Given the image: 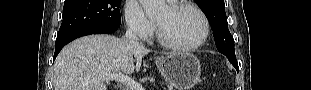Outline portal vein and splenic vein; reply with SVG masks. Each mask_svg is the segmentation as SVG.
Segmentation results:
<instances>
[{
  "instance_id": "portal-vein-and-splenic-vein-1",
  "label": "portal vein and splenic vein",
  "mask_w": 311,
  "mask_h": 90,
  "mask_svg": "<svg viewBox=\"0 0 311 90\" xmlns=\"http://www.w3.org/2000/svg\"><path fill=\"white\" fill-rule=\"evenodd\" d=\"M102 78L106 81L114 80L126 84L130 90H144L141 84L134 81L132 78L125 76L121 72H116L114 74H103Z\"/></svg>"
}]
</instances>
